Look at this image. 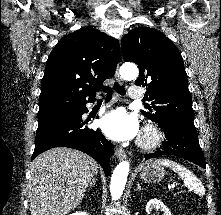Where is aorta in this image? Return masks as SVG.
Instances as JSON below:
<instances>
[{
  "mask_svg": "<svg viewBox=\"0 0 221 215\" xmlns=\"http://www.w3.org/2000/svg\"><path fill=\"white\" fill-rule=\"evenodd\" d=\"M120 75L125 80H135L139 75L137 66L133 63H125L120 68ZM130 164L128 161L120 162L113 171L110 184L112 200H118L125 188Z\"/></svg>",
  "mask_w": 221,
  "mask_h": 215,
  "instance_id": "1",
  "label": "aorta"
}]
</instances>
